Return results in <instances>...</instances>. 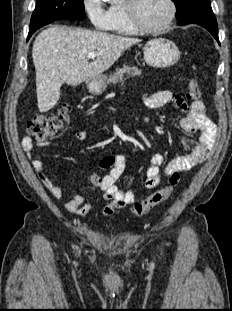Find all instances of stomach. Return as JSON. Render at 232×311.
Listing matches in <instances>:
<instances>
[{
  "label": "stomach",
  "instance_id": "stomach-1",
  "mask_svg": "<svg viewBox=\"0 0 232 311\" xmlns=\"http://www.w3.org/2000/svg\"><path fill=\"white\" fill-rule=\"evenodd\" d=\"M143 54L146 64L155 68L170 67L180 59V51L176 44L164 38L149 40L143 48ZM86 84L90 93L99 95L105 90L106 76L92 77Z\"/></svg>",
  "mask_w": 232,
  "mask_h": 311
}]
</instances>
